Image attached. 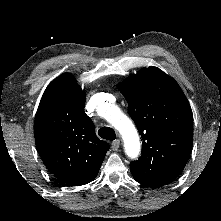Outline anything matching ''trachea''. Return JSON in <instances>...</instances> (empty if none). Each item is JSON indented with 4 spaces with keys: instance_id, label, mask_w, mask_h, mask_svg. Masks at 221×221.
I'll return each mask as SVG.
<instances>
[{
    "instance_id": "trachea-1",
    "label": "trachea",
    "mask_w": 221,
    "mask_h": 221,
    "mask_svg": "<svg viewBox=\"0 0 221 221\" xmlns=\"http://www.w3.org/2000/svg\"><path fill=\"white\" fill-rule=\"evenodd\" d=\"M98 135L106 140H115L116 138L115 131L110 127H103L99 129Z\"/></svg>"
}]
</instances>
